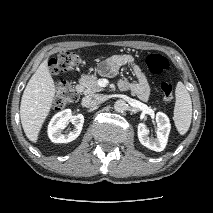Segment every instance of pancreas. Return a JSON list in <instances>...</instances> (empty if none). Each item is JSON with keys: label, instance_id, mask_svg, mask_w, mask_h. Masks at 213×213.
Returning a JSON list of instances; mask_svg holds the SVG:
<instances>
[{"label": "pancreas", "instance_id": "obj_1", "mask_svg": "<svg viewBox=\"0 0 213 213\" xmlns=\"http://www.w3.org/2000/svg\"><path fill=\"white\" fill-rule=\"evenodd\" d=\"M97 76L95 75H82L77 86L80 92L84 94H94L103 90L97 83Z\"/></svg>", "mask_w": 213, "mask_h": 213}]
</instances>
